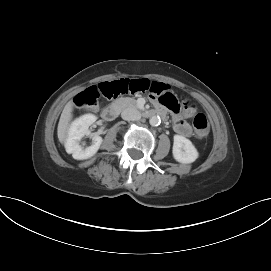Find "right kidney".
Here are the masks:
<instances>
[{"instance_id":"1","label":"right kidney","mask_w":271,"mask_h":271,"mask_svg":"<svg viewBox=\"0 0 271 271\" xmlns=\"http://www.w3.org/2000/svg\"><path fill=\"white\" fill-rule=\"evenodd\" d=\"M97 117L93 114H85L74 120L68 130V136L65 143L66 152L72 154L74 159L84 160L94 156L102 144V137L91 133L89 126L96 121ZM92 138V145L84 147L80 144L84 136Z\"/></svg>"}]
</instances>
